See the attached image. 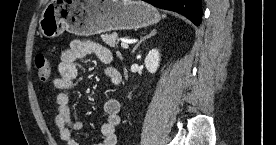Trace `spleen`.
<instances>
[{
	"label": "spleen",
	"mask_w": 276,
	"mask_h": 145,
	"mask_svg": "<svg viewBox=\"0 0 276 145\" xmlns=\"http://www.w3.org/2000/svg\"><path fill=\"white\" fill-rule=\"evenodd\" d=\"M162 17H163V18H165V17H166V15H162Z\"/></svg>",
	"instance_id": "spleen-1"
}]
</instances>
